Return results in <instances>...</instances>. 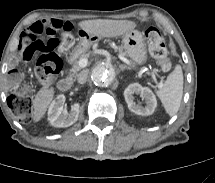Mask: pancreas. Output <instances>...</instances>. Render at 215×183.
I'll list each match as a JSON object with an SVG mask.
<instances>
[{
	"mask_svg": "<svg viewBox=\"0 0 215 183\" xmlns=\"http://www.w3.org/2000/svg\"><path fill=\"white\" fill-rule=\"evenodd\" d=\"M116 50L119 51L121 55H125V52H123L121 48H116ZM88 56H89V53H83L71 58V64H72V68L70 69L71 77H76L77 73L81 70V67L79 66V59L87 58Z\"/></svg>",
	"mask_w": 215,
	"mask_h": 183,
	"instance_id": "cf45deb5",
	"label": "pancreas"
}]
</instances>
